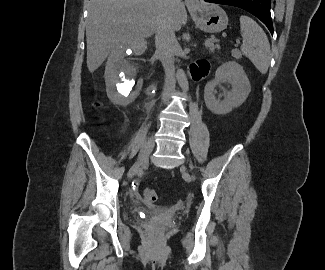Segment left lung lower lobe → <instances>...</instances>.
<instances>
[{"label": "left lung lower lobe", "mask_w": 325, "mask_h": 270, "mask_svg": "<svg viewBox=\"0 0 325 270\" xmlns=\"http://www.w3.org/2000/svg\"><path fill=\"white\" fill-rule=\"evenodd\" d=\"M210 3L231 5L242 8L260 19L273 35V24L271 19V0H205Z\"/></svg>", "instance_id": "obj_1"}]
</instances>
